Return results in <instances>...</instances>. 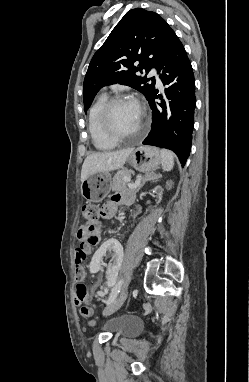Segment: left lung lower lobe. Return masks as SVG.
I'll return each mask as SVG.
<instances>
[{
  "label": "left lung lower lobe",
  "mask_w": 249,
  "mask_h": 382,
  "mask_svg": "<svg viewBox=\"0 0 249 382\" xmlns=\"http://www.w3.org/2000/svg\"><path fill=\"white\" fill-rule=\"evenodd\" d=\"M160 70L159 77L167 88L163 95L154 88L147 98L152 128L143 144L174 151L184 165L191 149L196 97L192 66L179 39Z\"/></svg>",
  "instance_id": "1"
}]
</instances>
